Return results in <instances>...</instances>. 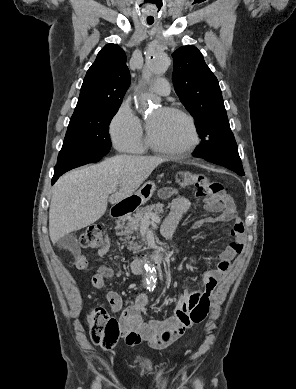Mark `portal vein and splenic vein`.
I'll return each mask as SVG.
<instances>
[{
    "label": "portal vein and splenic vein",
    "mask_w": 296,
    "mask_h": 389,
    "mask_svg": "<svg viewBox=\"0 0 296 389\" xmlns=\"http://www.w3.org/2000/svg\"><path fill=\"white\" fill-rule=\"evenodd\" d=\"M145 218H146V219L151 218L153 221H160L159 218H158L157 216H155V215H151V216L146 215Z\"/></svg>",
    "instance_id": "portal-vein-and-splenic-vein-1"
}]
</instances>
